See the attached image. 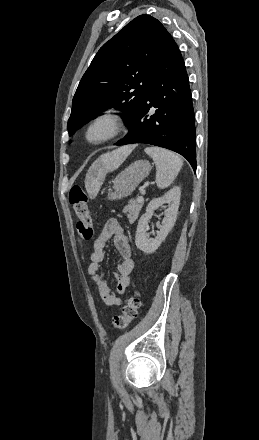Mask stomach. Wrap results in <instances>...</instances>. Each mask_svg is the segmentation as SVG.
Segmentation results:
<instances>
[{
  "label": "stomach",
  "instance_id": "obj_1",
  "mask_svg": "<svg viewBox=\"0 0 259 440\" xmlns=\"http://www.w3.org/2000/svg\"><path fill=\"white\" fill-rule=\"evenodd\" d=\"M151 164L146 160H138L119 173L113 181V189L108 194V199L116 200L127 197L133 193L138 185L149 175ZM92 172L86 179V186L93 187Z\"/></svg>",
  "mask_w": 259,
  "mask_h": 440
}]
</instances>
